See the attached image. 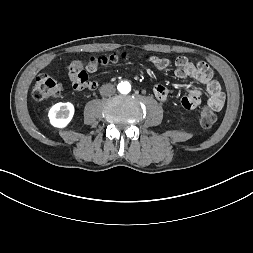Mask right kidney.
Listing matches in <instances>:
<instances>
[{
  "mask_svg": "<svg viewBox=\"0 0 253 253\" xmlns=\"http://www.w3.org/2000/svg\"><path fill=\"white\" fill-rule=\"evenodd\" d=\"M48 115L53 126L66 127L74 115V106L70 102H59L51 107Z\"/></svg>",
  "mask_w": 253,
  "mask_h": 253,
  "instance_id": "1",
  "label": "right kidney"
}]
</instances>
